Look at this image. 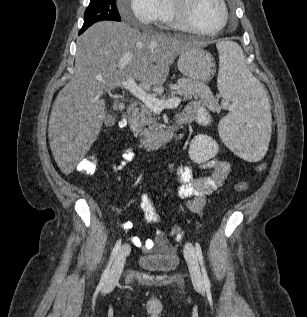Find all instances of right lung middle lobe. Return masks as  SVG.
<instances>
[{"label":"right lung middle lobe","mask_w":307,"mask_h":317,"mask_svg":"<svg viewBox=\"0 0 307 317\" xmlns=\"http://www.w3.org/2000/svg\"><path fill=\"white\" fill-rule=\"evenodd\" d=\"M102 20L121 21L116 8V0H90L84 14V24L81 33L93 23Z\"/></svg>","instance_id":"obj_1"}]
</instances>
